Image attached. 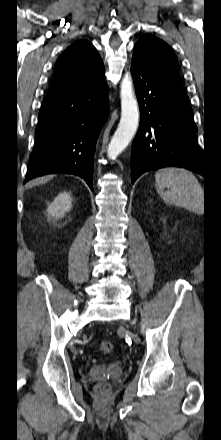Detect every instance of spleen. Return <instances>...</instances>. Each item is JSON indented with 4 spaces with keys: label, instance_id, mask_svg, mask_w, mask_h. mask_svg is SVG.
I'll use <instances>...</instances> for the list:
<instances>
[{
    "label": "spleen",
    "instance_id": "spleen-1",
    "mask_svg": "<svg viewBox=\"0 0 221 440\" xmlns=\"http://www.w3.org/2000/svg\"><path fill=\"white\" fill-rule=\"evenodd\" d=\"M155 186L165 202L203 213L204 192L192 172L176 167L160 169L155 174Z\"/></svg>",
    "mask_w": 221,
    "mask_h": 440
}]
</instances>
